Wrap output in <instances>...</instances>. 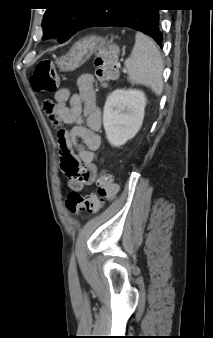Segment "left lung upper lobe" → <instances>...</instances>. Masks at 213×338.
Listing matches in <instances>:
<instances>
[{
	"mask_svg": "<svg viewBox=\"0 0 213 338\" xmlns=\"http://www.w3.org/2000/svg\"><path fill=\"white\" fill-rule=\"evenodd\" d=\"M105 0H48L42 27L43 39L58 36L67 41L82 26L87 17Z\"/></svg>",
	"mask_w": 213,
	"mask_h": 338,
	"instance_id": "5c2ea615",
	"label": "left lung upper lobe"
}]
</instances>
